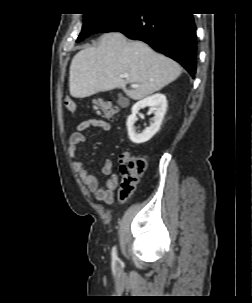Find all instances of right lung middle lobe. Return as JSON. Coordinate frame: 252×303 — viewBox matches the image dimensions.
I'll use <instances>...</instances> for the list:
<instances>
[{
	"mask_svg": "<svg viewBox=\"0 0 252 303\" xmlns=\"http://www.w3.org/2000/svg\"><path fill=\"white\" fill-rule=\"evenodd\" d=\"M127 11L128 10H123L120 12L84 14V24L82 31L78 36L77 42L84 40L91 34L100 32L104 27L115 21Z\"/></svg>",
	"mask_w": 252,
	"mask_h": 303,
	"instance_id": "obj_1",
	"label": "right lung middle lobe"
}]
</instances>
